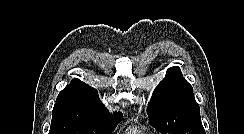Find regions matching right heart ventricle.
I'll list each match as a JSON object with an SVG mask.
<instances>
[{
    "label": "right heart ventricle",
    "mask_w": 244,
    "mask_h": 134,
    "mask_svg": "<svg viewBox=\"0 0 244 134\" xmlns=\"http://www.w3.org/2000/svg\"><path fill=\"white\" fill-rule=\"evenodd\" d=\"M141 130L140 129H131L127 134H141Z\"/></svg>",
    "instance_id": "e07e8e85"
}]
</instances>
